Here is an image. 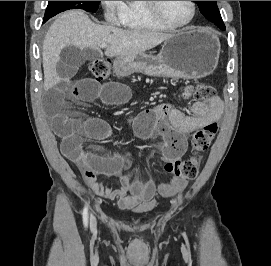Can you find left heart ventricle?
Returning a JSON list of instances; mask_svg holds the SVG:
<instances>
[{"label":"left heart ventricle","instance_id":"b2bd125f","mask_svg":"<svg viewBox=\"0 0 271 266\" xmlns=\"http://www.w3.org/2000/svg\"><path fill=\"white\" fill-rule=\"evenodd\" d=\"M162 15L174 24H183L191 16L189 1H159Z\"/></svg>","mask_w":271,"mask_h":266}]
</instances>
